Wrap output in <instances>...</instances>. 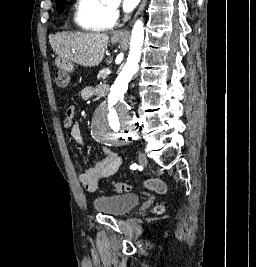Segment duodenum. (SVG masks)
<instances>
[{
  "mask_svg": "<svg viewBox=\"0 0 256 267\" xmlns=\"http://www.w3.org/2000/svg\"><path fill=\"white\" fill-rule=\"evenodd\" d=\"M74 71V66H64L60 68V73H72ZM96 87L99 89V99H108V89L109 86L105 85V82H96Z\"/></svg>",
  "mask_w": 256,
  "mask_h": 267,
  "instance_id": "duodenum-1",
  "label": "duodenum"
}]
</instances>
